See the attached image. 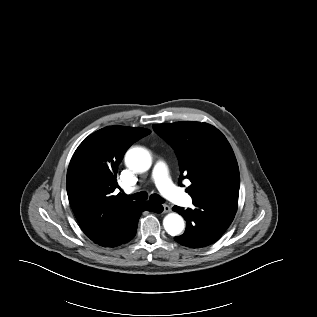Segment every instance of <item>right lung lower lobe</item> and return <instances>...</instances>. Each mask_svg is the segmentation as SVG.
Instances as JSON below:
<instances>
[{
    "instance_id": "obj_1",
    "label": "right lung lower lobe",
    "mask_w": 317,
    "mask_h": 317,
    "mask_svg": "<svg viewBox=\"0 0 317 317\" xmlns=\"http://www.w3.org/2000/svg\"><path fill=\"white\" fill-rule=\"evenodd\" d=\"M161 213L162 205L152 202H137L112 227H107L97 219L80 224L83 232L94 243L102 247H115L129 242L134 238L139 217L143 211Z\"/></svg>"
}]
</instances>
